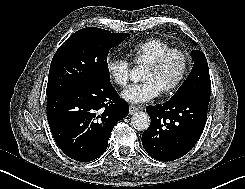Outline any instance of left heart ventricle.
Returning a JSON list of instances; mask_svg holds the SVG:
<instances>
[{"label":"left heart ventricle","instance_id":"1","mask_svg":"<svg viewBox=\"0 0 245 189\" xmlns=\"http://www.w3.org/2000/svg\"><path fill=\"white\" fill-rule=\"evenodd\" d=\"M182 60L178 56H171L158 70L144 67L141 80L154 82L161 90L172 84L182 71Z\"/></svg>","mask_w":245,"mask_h":189}]
</instances>
